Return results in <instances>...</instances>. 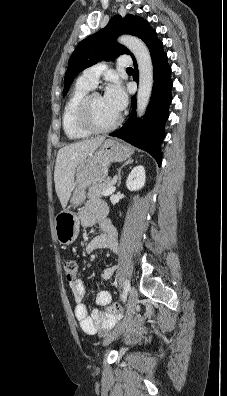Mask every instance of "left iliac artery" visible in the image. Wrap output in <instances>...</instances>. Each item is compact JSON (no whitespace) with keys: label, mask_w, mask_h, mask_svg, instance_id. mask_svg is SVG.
Here are the masks:
<instances>
[{"label":"left iliac artery","mask_w":227,"mask_h":396,"mask_svg":"<svg viewBox=\"0 0 227 396\" xmlns=\"http://www.w3.org/2000/svg\"><path fill=\"white\" fill-rule=\"evenodd\" d=\"M129 289H130V283H129L128 280H126L125 283H124V289H123V293H122V296H121L123 302L126 301Z\"/></svg>","instance_id":"44dca946"}]
</instances>
